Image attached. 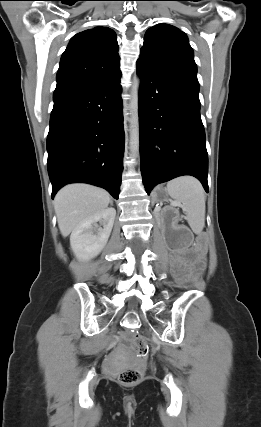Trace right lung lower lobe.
Wrapping results in <instances>:
<instances>
[{"instance_id": "98d812e1", "label": "right lung lower lobe", "mask_w": 261, "mask_h": 427, "mask_svg": "<svg viewBox=\"0 0 261 427\" xmlns=\"http://www.w3.org/2000/svg\"><path fill=\"white\" fill-rule=\"evenodd\" d=\"M120 77L54 99L47 137L52 198L62 186L84 182L118 199L124 153Z\"/></svg>"}]
</instances>
